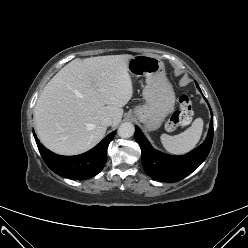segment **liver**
Here are the masks:
<instances>
[{
    "mask_svg": "<svg viewBox=\"0 0 248 248\" xmlns=\"http://www.w3.org/2000/svg\"><path fill=\"white\" fill-rule=\"evenodd\" d=\"M132 55L74 59L44 87L35 105V128L45 147L62 155L88 151L103 138L110 116L116 126L133 95Z\"/></svg>",
    "mask_w": 248,
    "mask_h": 248,
    "instance_id": "obj_1",
    "label": "liver"
}]
</instances>
